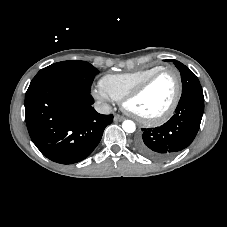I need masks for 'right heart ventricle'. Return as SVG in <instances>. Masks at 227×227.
<instances>
[{
    "label": "right heart ventricle",
    "mask_w": 227,
    "mask_h": 227,
    "mask_svg": "<svg viewBox=\"0 0 227 227\" xmlns=\"http://www.w3.org/2000/svg\"><path fill=\"white\" fill-rule=\"evenodd\" d=\"M161 68L153 66L128 73L107 74L100 79L99 87L110 98L121 100L133 87Z\"/></svg>",
    "instance_id": "obj_1"
}]
</instances>
